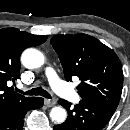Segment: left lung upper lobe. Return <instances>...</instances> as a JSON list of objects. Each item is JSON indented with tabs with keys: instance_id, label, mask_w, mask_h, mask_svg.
I'll list each match as a JSON object with an SVG mask.
<instances>
[{
	"instance_id": "1",
	"label": "left lung upper lobe",
	"mask_w": 130,
	"mask_h": 130,
	"mask_svg": "<svg viewBox=\"0 0 130 130\" xmlns=\"http://www.w3.org/2000/svg\"><path fill=\"white\" fill-rule=\"evenodd\" d=\"M51 44L58 54L67 81L77 76L82 100L115 112L122 93L123 72L116 53L87 34L56 35Z\"/></svg>"
}]
</instances>
